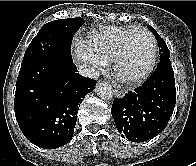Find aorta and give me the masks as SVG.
<instances>
[{
  "label": "aorta",
  "instance_id": "762f6f07",
  "mask_svg": "<svg viewBox=\"0 0 196 166\" xmlns=\"http://www.w3.org/2000/svg\"><path fill=\"white\" fill-rule=\"evenodd\" d=\"M95 91L101 99L111 100L113 98V89L107 82H99L96 85Z\"/></svg>",
  "mask_w": 196,
  "mask_h": 166
}]
</instances>
